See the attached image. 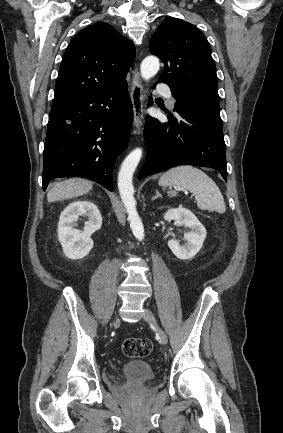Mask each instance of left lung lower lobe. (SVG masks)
<instances>
[{
    "label": "left lung lower lobe",
    "instance_id": "obj_1",
    "mask_svg": "<svg viewBox=\"0 0 283 433\" xmlns=\"http://www.w3.org/2000/svg\"><path fill=\"white\" fill-rule=\"evenodd\" d=\"M167 117V122L152 117L146 119L144 138L148 153L138 179L170 167L190 164L214 168L227 181L222 126L184 113H168Z\"/></svg>",
    "mask_w": 283,
    "mask_h": 433
}]
</instances>
